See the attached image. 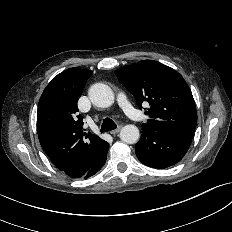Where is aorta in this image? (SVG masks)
<instances>
[{"label":"aorta","mask_w":232,"mask_h":232,"mask_svg":"<svg viewBox=\"0 0 232 232\" xmlns=\"http://www.w3.org/2000/svg\"><path fill=\"white\" fill-rule=\"evenodd\" d=\"M91 102L101 108H107L114 102L112 89L103 83L93 84L88 92ZM139 129L132 124L125 125L120 131V139L127 144H134L139 140Z\"/></svg>","instance_id":"1"}]
</instances>
